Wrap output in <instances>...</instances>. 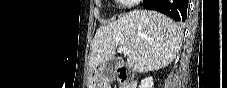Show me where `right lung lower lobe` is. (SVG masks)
Returning <instances> with one entry per match:
<instances>
[{
  "label": "right lung lower lobe",
  "mask_w": 227,
  "mask_h": 88,
  "mask_svg": "<svg viewBox=\"0 0 227 88\" xmlns=\"http://www.w3.org/2000/svg\"><path fill=\"white\" fill-rule=\"evenodd\" d=\"M143 6L164 13L175 21L187 18L188 0H143Z\"/></svg>",
  "instance_id": "98d812e1"
}]
</instances>
